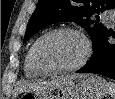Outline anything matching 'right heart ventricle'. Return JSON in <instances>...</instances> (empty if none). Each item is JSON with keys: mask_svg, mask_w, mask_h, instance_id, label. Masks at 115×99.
Instances as JSON below:
<instances>
[{"mask_svg": "<svg viewBox=\"0 0 115 99\" xmlns=\"http://www.w3.org/2000/svg\"><path fill=\"white\" fill-rule=\"evenodd\" d=\"M32 49L33 45L29 48L26 53L25 60H24V73L28 78H37L43 75L35 66L32 57Z\"/></svg>", "mask_w": 115, "mask_h": 99, "instance_id": "e07e8e85", "label": "right heart ventricle"}]
</instances>
